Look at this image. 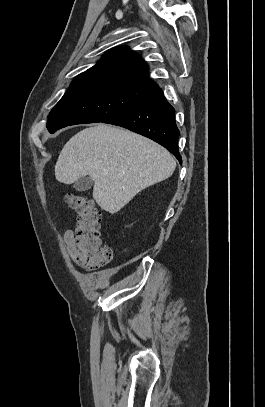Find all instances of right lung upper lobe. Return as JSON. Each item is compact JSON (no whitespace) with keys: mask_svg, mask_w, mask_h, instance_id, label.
Here are the masks:
<instances>
[{"mask_svg":"<svg viewBox=\"0 0 265 407\" xmlns=\"http://www.w3.org/2000/svg\"><path fill=\"white\" fill-rule=\"evenodd\" d=\"M102 58V61L78 76H106L158 88V85L150 80L148 66L141 56L126 46L113 48Z\"/></svg>","mask_w":265,"mask_h":407,"instance_id":"cb5924a9","label":"right lung upper lobe"}]
</instances>
